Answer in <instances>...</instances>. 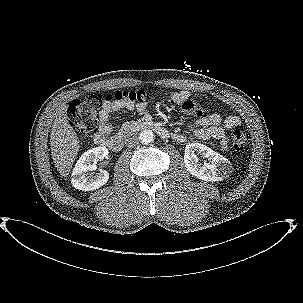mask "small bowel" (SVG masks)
<instances>
[{
    "mask_svg": "<svg viewBox=\"0 0 303 303\" xmlns=\"http://www.w3.org/2000/svg\"><path fill=\"white\" fill-rule=\"evenodd\" d=\"M171 98L176 103H183L190 99L189 93L186 91L174 92L171 94ZM120 109H126L132 111L136 109L140 113H146L148 111L147 104L142 103H129L125 101H117L106 103L99 112V128L96 135V141L102 143V140L106 139L112 131V126L109 123V118L112 113ZM203 115L197 120L200 128L195 130L194 135L201 140H217L220 141L223 147L227 145L226 130L237 127L241 124V120L238 116L232 115L227 117L224 121L219 114L209 113L204 110ZM173 139L177 142H184L185 136L180 133L173 134Z\"/></svg>",
    "mask_w": 303,
    "mask_h": 303,
    "instance_id": "small-bowel-1",
    "label": "small bowel"
}]
</instances>
